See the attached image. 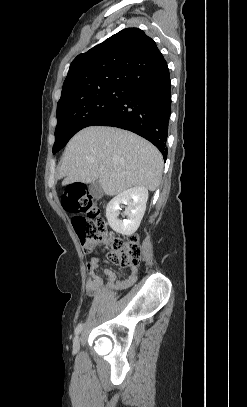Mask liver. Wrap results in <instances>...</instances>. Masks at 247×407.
Wrapping results in <instances>:
<instances>
[{"label":"liver","instance_id":"obj_1","mask_svg":"<svg viewBox=\"0 0 247 407\" xmlns=\"http://www.w3.org/2000/svg\"><path fill=\"white\" fill-rule=\"evenodd\" d=\"M162 169L161 153L147 140L126 130L91 126L67 144L59 178L63 186L99 180L105 194L114 196L133 186L155 191Z\"/></svg>","mask_w":247,"mask_h":407}]
</instances>
